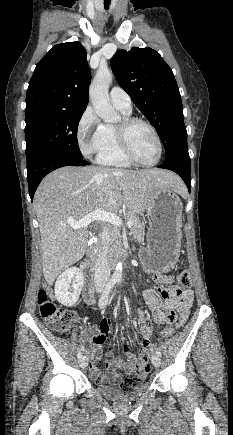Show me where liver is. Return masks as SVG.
<instances>
[{"instance_id": "liver-1", "label": "liver", "mask_w": 233, "mask_h": 435, "mask_svg": "<svg viewBox=\"0 0 233 435\" xmlns=\"http://www.w3.org/2000/svg\"><path fill=\"white\" fill-rule=\"evenodd\" d=\"M163 189L185 192L176 174L162 169L124 170L96 166H65L48 174L34 196L39 222L43 276L48 283L83 258L88 232L69 221H80L101 208L114 212L122 205L142 214Z\"/></svg>"}]
</instances>
